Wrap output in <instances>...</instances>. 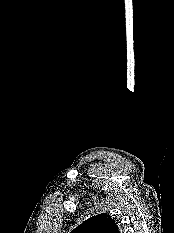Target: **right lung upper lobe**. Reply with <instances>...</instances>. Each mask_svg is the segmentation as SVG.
Masks as SVG:
<instances>
[{"mask_svg":"<svg viewBox=\"0 0 174 233\" xmlns=\"http://www.w3.org/2000/svg\"><path fill=\"white\" fill-rule=\"evenodd\" d=\"M70 233H120L117 223L107 213H101L85 220Z\"/></svg>","mask_w":174,"mask_h":233,"instance_id":"obj_1","label":"right lung upper lobe"}]
</instances>
